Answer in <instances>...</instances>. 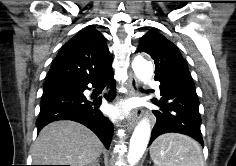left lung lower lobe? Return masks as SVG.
<instances>
[{
	"label": "left lung lower lobe",
	"instance_id": "left-lung-lower-lobe-1",
	"mask_svg": "<svg viewBox=\"0 0 236 166\" xmlns=\"http://www.w3.org/2000/svg\"><path fill=\"white\" fill-rule=\"evenodd\" d=\"M157 81L161 83L162 98L160 111H153L156 124L152 130L150 144L159 135L175 132L188 135L203 146L199 100L190 75H168Z\"/></svg>",
	"mask_w": 236,
	"mask_h": 166
}]
</instances>
